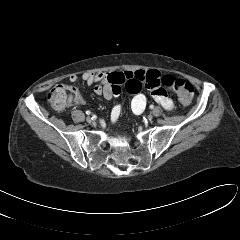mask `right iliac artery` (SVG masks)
Masks as SVG:
<instances>
[{
  "label": "right iliac artery",
  "instance_id": "1",
  "mask_svg": "<svg viewBox=\"0 0 240 240\" xmlns=\"http://www.w3.org/2000/svg\"><path fill=\"white\" fill-rule=\"evenodd\" d=\"M86 114H87V115H90V114H91V112L88 110V111H86Z\"/></svg>",
  "mask_w": 240,
  "mask_h": 240
}]
</instances>
